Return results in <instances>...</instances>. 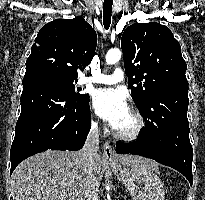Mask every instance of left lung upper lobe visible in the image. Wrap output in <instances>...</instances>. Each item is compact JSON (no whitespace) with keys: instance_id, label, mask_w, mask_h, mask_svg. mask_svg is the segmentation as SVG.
Segmentation results:
<instances>
[{"instance_id":"left-lung-upper-lobe-1","label":"left lung upper lobe","mask_w":205,"mask_h":200,"mask_svg":"<svg viewBox=\"0 0 205 200\" xmlns=\"http://www.w3.org/2000/svg\"><path fill=\"white\" fill-rule=\"evenodd\" d=\"M121 48L128 88L148 128L153 124L151 115H157L152 112L153 94L175 87L188 88L181 46L169 28L152 22L127 27L122 34Z\"/></svg>"}]
</instances>
